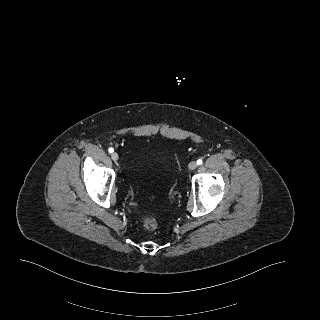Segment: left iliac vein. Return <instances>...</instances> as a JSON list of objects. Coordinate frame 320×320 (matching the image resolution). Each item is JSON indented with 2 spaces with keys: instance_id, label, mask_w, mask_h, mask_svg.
<instances>
[{
  "instance_id": "4c4485c4",
  "label": "left iliac vein",
  "mask_w": 320,
  "mask_h": 320,
  "mask_svg": "<svg viewBox=\"0 0 320 320\" xmlns=\"http://www.w3.org/2000/svg\"><path fill=\"white\" fill-rule=\"evenodd\" d=\"M190 170H194L197 167V163L195 161H191L188 165Z\"/></svg>"
}]
</instances>
